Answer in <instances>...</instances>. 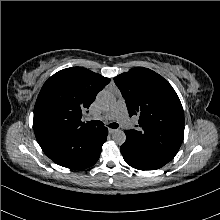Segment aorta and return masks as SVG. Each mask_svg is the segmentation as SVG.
I'll list each match as a JSON object with an SVG mask.
<instances>
[{
    "mask_svg": "<svg viewBox=\"0 0 220 220\" xmlns=\"http://www.w3.org/2000/svg\"><path fill=\"white\" fill-rule=\"evenodd\" d=\"M97 103L103 109H109L114 105L115 99L110 92L102 91L97 95ZM113 141L122 145L126 141V135L122 130H115L112 135Z\"/></svg>",
    "mask_w": 220,
    "mask_h": 220,
    "instance_id": "762f6f07",
    "label": "aorta"
}]
</instances>
